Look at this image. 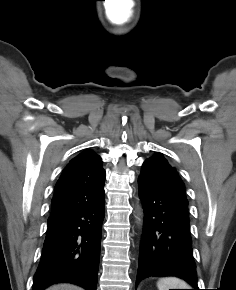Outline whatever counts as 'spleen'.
<instances>
[{"label":"spleen","mask_w":236,"mask_h":290,"mask_svg":"<svg viewBox=\"0 0 236 290\" xmlns=\"http://www.w3.org/2000/svg\"><path fill=\"white\" fill-rule=\"evenodd\" d=\"M157 287L159 290L188 289L189 285L185 281L176 277H164L159 279Z\"/></svg>","instance_id":"3e777b00"}]
</instances>
